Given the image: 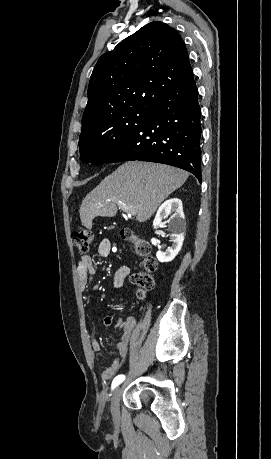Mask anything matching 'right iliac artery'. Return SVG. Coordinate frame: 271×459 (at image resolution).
<instances>
[{
  "mask_svg": "<svg viewBox=\"0 0 271 459\" xmlns=\"http://www.w3.org/2000/svg\"><path fill=\"white\" fill-rule=\"evenodd\" d=\"M125 380V376L124 375H118L116 376L113 381H112V386L111 388L114 389L115 387H117L120 383H122L123 381Z\"/></svg>",
  "mask_w": 271,
  "mask_h": 459,
  "instance_id": "obj_1",
  "label": "right iliac artery"
}]
</instances>
